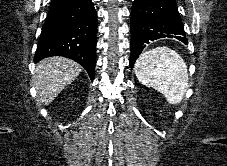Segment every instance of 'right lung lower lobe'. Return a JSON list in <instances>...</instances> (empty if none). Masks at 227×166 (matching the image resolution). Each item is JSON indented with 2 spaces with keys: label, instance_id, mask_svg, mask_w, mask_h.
Masks as SVG:
<instances>
[{
  "label": "right lung lower lobe",
  "instance_id": "1",
  "mask_svg": "<svg viewBox=\"0 0 227 166\" xmlns=\"http://www.w3.org/2000/svg\"><path fill=\"white\" fill-rule=\"evenodd\" d=\"M97 16L92 0H52L34 61L64 56L81 64L93 80Z\"/></svg>",
  "mask_w": 227,
  "mask_h": 166
}]
</instances>
